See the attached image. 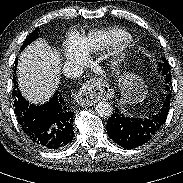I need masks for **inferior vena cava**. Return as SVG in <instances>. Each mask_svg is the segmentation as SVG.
Instances as JSON below:
<instances>
[{"mask_svg":"<svg viewBox=\"0 0 183 183\" xmlns=\"http://www.w3.org/2000/svg\"><path fill=\"white\" fill-rule=\"evenodd\" d=\"M62 72L68 78H77L82 75L83 70L79 64L70 61L63 65Z\"/></svg>","mask_w":183,"mask_h":183,"instance_id":"1","label":"inferior vena cava"}]
</instances>
